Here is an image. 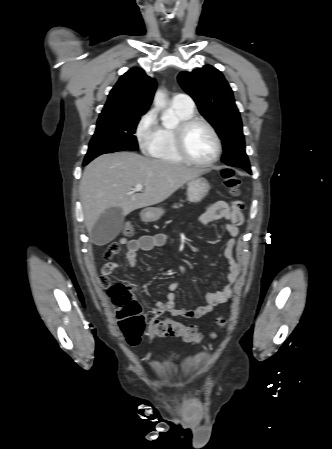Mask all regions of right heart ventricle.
<instances>
[{"mask_svg": "<svg viewBox=\"0 0 332 449\" xmlns=\"http://www.w3.org/2000/svg\"><path fill=\"white\" fill-rule=\"evenodd\" d=\"M170 111L174 117V125L168 126L162 124L158 126L157 133L153 143L148 149V154L156 159L180 163L183 160L177 154L174 146V127L175 125L193 116V111H189L172 105Z\"/></svg>", "mask_w": 332, "mask_h": 449, "instance_id": "obj_1", "label": "right heart ventricle"}]
</instances>
